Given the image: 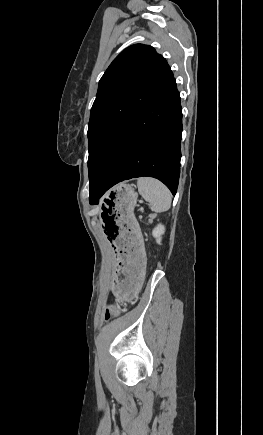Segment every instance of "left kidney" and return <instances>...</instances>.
I'll use <instances>...</instances> for the list:
<instances>
[{
  "label": "left kidney",
  "mask_w": 263,
  "mask_h": 435,
  "mask_svg": "<svg viewBox=\"0 0 263 435\" xmlns=\"http://www.w3.org/2000/svg\"><path fill=\"white\" fill-rule=\"evenodd\" d=\"M165 232V227L162 224H158L152 231L153 237L156 238V242L160 244L161 242V236Z\"/></svg>",
  "instance_id": "5707ae66"
}]
</instances>
